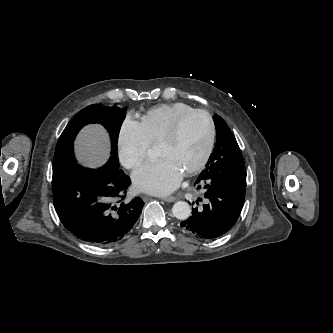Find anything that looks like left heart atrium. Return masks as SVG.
Listing matches in <instances>:
<instances>
[{"mask_svg":"<svg viewBox=\"0 0 333 333\" xmlns=\"http://www.w3.org/2000/svg\"><path fill=\"white\" fill-rule=\"evenodd\" d=\"M133 182L140 191L167 195L183 178V171L169 158L147 162L133 173Z\"/></svg>","mask_w":333,"mask_h":333,"instance_id":"left-heart-atrium-1","label":"left heart atrium"}]
</instances>
